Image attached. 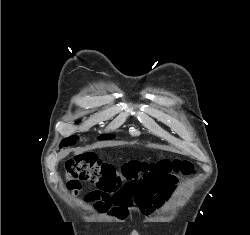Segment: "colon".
Wrapping results in <instances>:
<instances>
[{"label": "colon", "mask_w": 250, "mask_h": 235, "mask_svg": "<svg viewBox=\"0 0 250 235\" xmlns=\"http://www.w3.org/2000/svg\"><path fill=\"white\" fill-rule=\"evenodd\" d=\"M191 171L192 165L187 161H129L116 167L94 153H85L67 161L65 177L68 190L73 193L79 191L80 182L95 184L97 190L90 192L86 200L100 211L125 216L126 207L140 190L169 187L175 181V174L186 175Z\"/></svg>", "instance_id": "colon-1"}]
</instances>
